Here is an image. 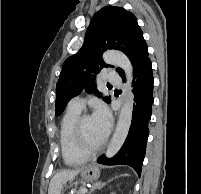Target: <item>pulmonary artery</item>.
<instances>
[{
    "label": "pulmonary artery",
    "mask_w": 201,
    "mask_h": 194,
    "mask_svg": "<svg viewBox=\"0 0 201 194\" xmlns=\"http://www.w3.org/2000/svg\"><path fill=\"white\" fill-rule=\"evenodd\" d=\"M106 82L111 84L120 85L122 82L121 77L115 72H108L104 77ZM69 107L82 110L84 107V99L80 96L74 97L69 102Z\"/></svg>",
    "instance_id": "e3ab8cb5"
}]
</instances>
